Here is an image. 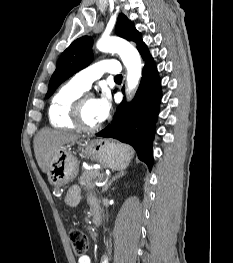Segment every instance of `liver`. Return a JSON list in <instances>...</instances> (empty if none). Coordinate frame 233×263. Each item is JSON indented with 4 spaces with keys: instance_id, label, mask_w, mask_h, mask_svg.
I'll use <instances>...</instances> for the list:
<instances>
[{
    "instance_id": "1",
    "label": "liver",
    "mask_w": 233,
    "mask_h": 263,
    "mask_svg": "<svg viewBox=\"0 0 233 263\" xmlns=\"http://www.w3.org/2000/svg\"><path fill=\"white\" fill-rule=\"evenodd\" d=\"M79 138V135L63 130L49 128L40 130L34 139V152L42 172L47 173L52 158L64 144L76 141Z\"/></svg>"
}]
</instances>
